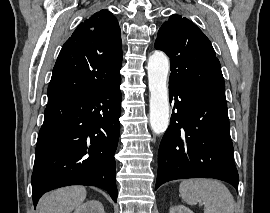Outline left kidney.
I'll return each mask as SVG.
<instances>
[{
    "label": "left kidney",
    "mask_w": 270,
    "mask_h": 213,
    "mask_svg": "<svg viewBox=\"0 0 270 213\" xmlns=\"http://www.w3.org/2000/svg\"><path fill=\"white\" fill-rule=\"evenodd\" d=\"M170 213H193V211L184 205H175L170 208Z\"/></svg>",
    "instance_id": "left-kidney-1"
}]
</instances>
